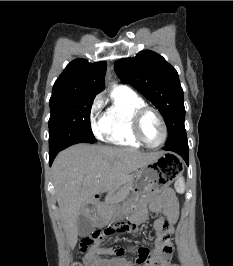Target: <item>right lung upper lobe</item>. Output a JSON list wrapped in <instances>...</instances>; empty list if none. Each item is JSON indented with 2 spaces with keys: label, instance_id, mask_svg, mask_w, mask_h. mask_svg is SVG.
Listing matches in <instances>:
<instances>
[{
  "label": "right lung upper lobe",
  "instance_id": "cb5924a9",
  "mask_svg": "<svg viewBox=\"0 0 233 266\" xmlns=\"http://www.w3.org/2000/svg\"><path fill=\"white\" fill-rule=\"evenodd\" d=\"M106 63H89L85 59L70 62L56 80L50 99L76 95H96L105 88Z\"/></svg>",
  "mask_w": 233,
  "mask_h": 266
}]
</instances>
